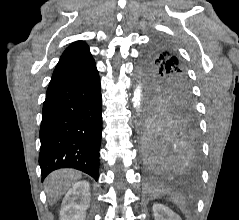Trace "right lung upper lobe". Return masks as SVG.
<instances>
[{
	"instance_id": "right-lung-upper-lobe-1",
	"label": "right lung upper lobe",
	"mask_w": 239,
	"mask_h": 220,
	"mask_svg": "<svg viewBox=\"0 0 239 220\" xmlns=\"http://www.w3.org/2000/svg\"><path fill=\"white\" fill-rule=\"evenodd\" d=\"M91 60L93 58L86 43L82 41L74 42L62 54L53 76L62 74Z\"/></svg>"
}]
</instances>
